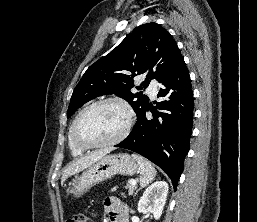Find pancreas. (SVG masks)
I'll list each match as a JSON object with an SVG mask.
<instances>
[{
    "instance_id": "cf45deb5",
    "label": "pancreas",
    "mask_w": 257,
    "mask_h": 222,
    "mask_svg": "<svg viewBox=\"0 0 257 222\" xmlns=\"http://www.w3.org/2000/svg\"><path fill=\"white\" fill-rule=\"evenodd\" d=\"M126 188L128 189L130 195H132L134 193V191L136 190V186L131 185L130 181L128 182Z\"/></svg>"
}]
</instances>
